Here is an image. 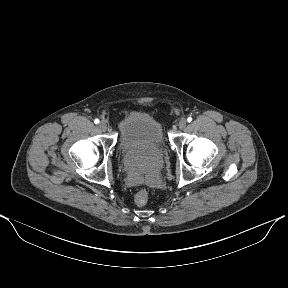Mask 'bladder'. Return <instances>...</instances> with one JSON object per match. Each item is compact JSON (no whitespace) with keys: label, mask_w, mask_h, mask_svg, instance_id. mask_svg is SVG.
Wrapping results in <instances>:
<instances>
[{"label":"bladder","mask_w":288,"mask_h":288,"mask_svg":"<svg viewBox=\"0 0 288 288\" xmlns=\"http://www.w3.org/2000/svg\"><path fill=\"white\" fill-rule=\"evenodd\" d=\"M118 147L128 160L143 168L153 167L165 151L163 129L152 116L133 114L119 127Z\"/></svg>","instance_id":"obj_1"}]
</instances>
